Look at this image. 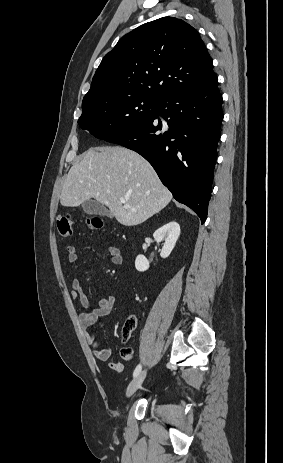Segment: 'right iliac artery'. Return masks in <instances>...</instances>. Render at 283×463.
I'll list each match as a JSON object with an SVG mask.
<instances>
[{"label": "right iliac artery", "instance_id": "right-iliac-artery-1", "mask_svg": "<svg viewBox=\"0 0 283 463\" xmlns=\"http://www.w3.org/2000/svg\"><path fill=\"white\" fill-rule=\"evenodd\" d=\"M141 368V364L137 365V367L134 370L133 377H136L141 372Z\"/></svg>", "mask_w": 283, "mask_h": 463}]
</instances>
